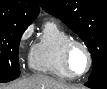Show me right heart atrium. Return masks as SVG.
I'll use <instances>...</instances> for the list:
<instances>
[{
    "label": "right heart atrium",
    "mask_w": 107,
    "mask_h": 89,
    "mask_svg": "<svg viewBox=\"0 0 107 89\" xmlns=\"http://www.w3.org/2000/svg\"><path fill=\"white\" fill-rule=\"evenodd\" d=\"M31 35V28H28L23 35L21 36L20 42H19V48L22 49L26 45L29 37Z\"/></svg>",
    "instance_id": "obj_1"
}]
</instances>
